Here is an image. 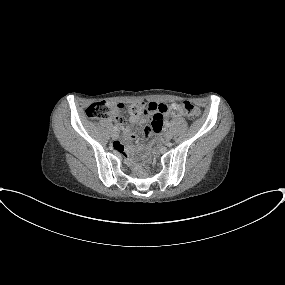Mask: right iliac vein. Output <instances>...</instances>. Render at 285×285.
I'll return each instance as SVG.
<instances>
[{"instance_id": "1", "label": "right iliac vein", "mask_w": 285, "mask_h": 285, "mask_svg": "<svg viewBox=\"0 0 285 285\" xmlns=\"http://www.w3.org/2000/svg\"><path fill=\"white\" fill-rule=\"evenodd\" d=\"M118 137H119V135H118L117 132H113V133H112V138H113L114 140L118 139Z\"/></svg>"}]
</instances>
